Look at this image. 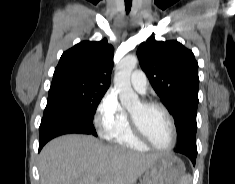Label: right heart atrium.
I'll list each match as a JSON object with an SVG mask.
<instances>
[{
	"label": "right heart atrium",
	"mask_w": 235,
	"mask_h": 184,
	"mask_svg": "<svg viewBox=\"0 0 235 184\" xmlns=\"http://www.w3.org/2000/svg\"><path fill=\"white\" fill-rule=\"evenodd\" d=\"M92 121L101 138L114 139L127 123L128 117L117 96L108 91L96 106Z\"/></svg>",
	"instance_id": "1"
}]
</instances>
